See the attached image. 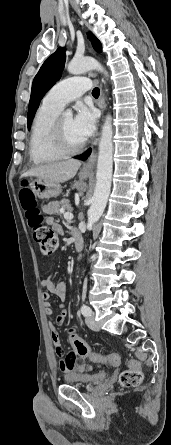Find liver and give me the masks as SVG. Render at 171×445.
Wrapping results in <instances>:
<instances>
[{"mask_svg": "<svg viewBox=\"0 0 171 445\" xmlns=\"http://www.w3.org/2000/svg\"><path fill=\"white\" fill-rule=\"evenodd\" d=\"M81 162L78 160H67L55 162L31 168L23 173L21 177L35 176L44 180L63 183L73 178Z\"/></svg>", "mask_w": 171, "mask_h": 445, "instance_id": "liver-1", "label": "liver"}]
</instances>
